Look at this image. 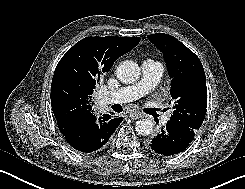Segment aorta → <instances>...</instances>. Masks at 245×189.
Here are the masks:
<instances>
[{
  "label": "aorta",
  "mask_w": 245,
  "mask_h": 189,
  "mask_svg": "<svg viewBox=\"0 0 245 189\" xmlns=\"http://www.w3.org/2000/svg\"><path fill=\"white\" fill-rule=\"evenodd\" d=\"M117 78L126 84L136 82L140 77V68L137 63L126 60L116 69ZM154 123L150 119H142L136 122L135 130L141 136L150 135L153 132Z\"/></svg>",
  "instance_id": "1"
}]
</instances>
